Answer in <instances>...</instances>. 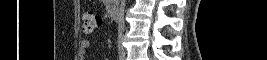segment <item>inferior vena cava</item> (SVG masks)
Masks as SVG:
<instances>
[{
  "label": "inferior vena cava",
  "instance_id": "obj_1",
  "mask_svg": "<svg viewBox=\"0 0 267 60\" xmlns=\"http://www.w3.org/2000/svg\"><path fill=\"white\" fill-rule=\"evenodd\" d=\"M124 6H125V0H121L119 21H118V32L119 33H123L124 31Z\"/></svg>",
  "mask_w": 267,
  "mask_h": 60
}]
</instances>
